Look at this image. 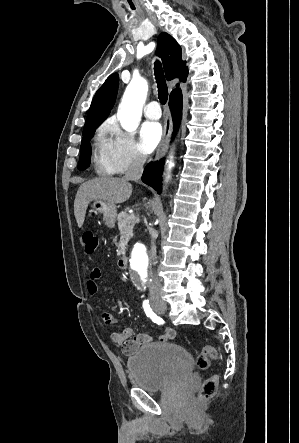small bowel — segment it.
<instances>
[{
    "instance_id": "small-bowel-1",
    "label": "small bowel",
    "mask_w": 299,
    "mask_h": 443,
    "mask_svg": "<svg viewBox=\"0 0 299 443\" xmlns=\"http://www.w3.org/2000/svg\"><path fill=\"white\" fill-rule=\"evenodd\" d=\"M101 278V270L99 268H93L86 282V287L91 295H96L98 293V281ZM100 319L106 324H115L117 319L109 312H101ZM176 333L171 328H166L164 332L158 337V341L161 343L169 342L173 340ZM110 340L123 347V352L127 355L133 354L137 349L145 344L151 343L152 338L145 334L139 333L134 334L131 327H124L121 331L112 332L110 334Z\"/></svg>"
}]
</instances>
